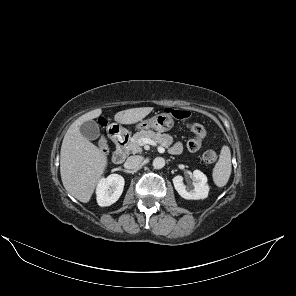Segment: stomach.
I'll use <instances>...</instances> for the list:
<instances>
[{"instance_id": "stomach-1", "label": "stomach", "mask_w": 296, "mask_h": 296, "mask_svg": "<svg viewBox=\"0 0 296 296\" xmlns=\"http://www.w3.org/2000/svg\"><path fill=\"white\" fill-rule=\"evenodd\" d=\"M173 125L174 120L171 115L160 113L150 119L141 121L137 127L141 130L152 128L159 132H166L169 131Z\"/></svg>"}]
</instances>
